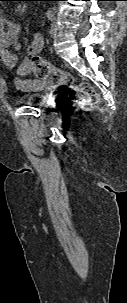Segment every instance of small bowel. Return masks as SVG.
Instances as JSON below:
<instances>
[{
	"label": "small bowel",
	"mask_w": 127,
	"mask_h": 303,
	"mask_svg": "<svg viewBox=\"0 0 127 303\" xmlns=\"http://www.w3.org/2000/svg\"><path fill=\"white\" fill-rule=\"evenodd\" d=\"M20 26L13 20L3 17L0 12V63L16 76L15 86L20 91H37L44 87L43 79L35 76L31 63L32 55L39 54L43 48V38L36 35L26 50V56L20 60L18 53L10 49L18 48L17 40Z\"/></svg>",
	"instance_id": "c3829d8e"
}]
</instances>
